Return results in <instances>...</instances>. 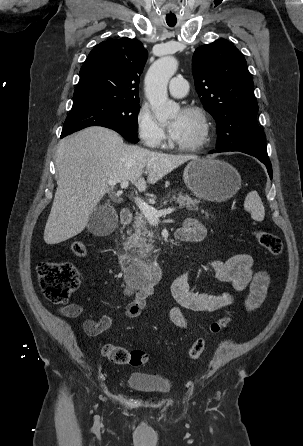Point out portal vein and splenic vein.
Segmentation results:
<instances>
[{
	"label": "portal vein and splenic vein",
	"instance_id": "portal-vein-and-splenic-vein-1",
	"mask_svg": "<svg viewBox=\"0 0 303 446\" xmlns=\"http://www.w3.org/2000/svg\"><path fill=\"white\" fill-rule=\"evenodd\" d=\"M109 184L112 186L116 185L115 182H109ZM128 185L129 181H123L121 183V188H127ZM135 203L137 204L141 213L150 223H157L159 221V217L170 214L175 210L174 208L156 210L154 207L150 206L148 203L144 202L140 198H135Z\"/></svg>",
	"mask_w": 303,
	"mask_h": 446
}]
</instances>
